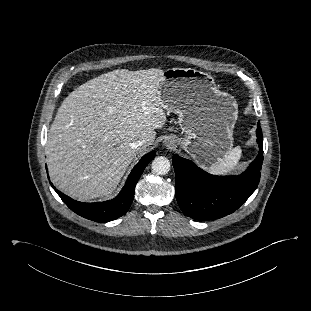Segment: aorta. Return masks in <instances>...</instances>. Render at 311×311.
<instances>
[{
	"label": "aorta",
	"mask_w": 311,
	"mask_h": 311,
	"mask_svg": "<svg viewBox=\"0 0 311 311\" xmlns=\"http://www.w3.org/2000/svg\"><path fill=\"white\" fill-rule=\"evenodd\" d=\"M152 170L158 175H165L170 170V161L163 156L156 157L152 162Z\"/></svg>",
	"instance_id": "aorta-1"
}]
</instances>
